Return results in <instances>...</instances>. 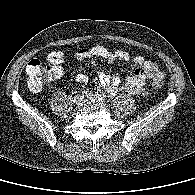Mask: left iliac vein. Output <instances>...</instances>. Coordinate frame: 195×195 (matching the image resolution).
I'll return each instance as SVG.
<instances>
[{
	"label": "left iliac vein",
	"instance_id": "obj_1",
	"mask_svg": "<svg viewBox=\"0 0 195 195\" xmlns=\"http://www.w3.org/2000/svg\"><path fill=\"white\" fill-rule=\"evenodd\" d=\"M87 98H89V99H96V100H99V101L103 100V98H102V96L100 94L94 93V92H89L87 94Z\"/></svg>",
	"mask_w": 195,
	"mask_h": 195
}]
</instances>
